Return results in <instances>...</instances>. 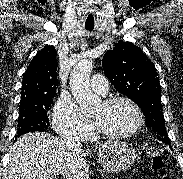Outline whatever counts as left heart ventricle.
Instances as JSON below:
<instances>
[{
    "mask_svg": "<svg viewBox=\"0 0 183 179\" xmlns=\"http://www.w3.org/2000/svg\"><path fill=\"white\" fill-rule=\"evenodd\" d=\"M97 125L110 133H123L132 130L138 117L133 107L126 102L106 106L101 103L93 113Z\"/></svg>",
    "mask_w": 183,
    "mask_h": 179,
    "instance_id": "1",
    "label": "left heart ventricle"
}]
</instances>
